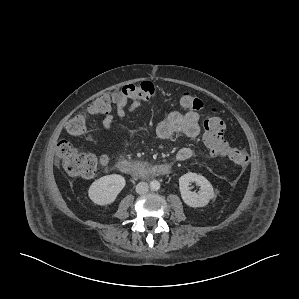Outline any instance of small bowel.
<instances>
[{"label":"small bowel","instance_id":"c3829d8e","mask_svg":"<svg viewBox=\"0 0 299 299\" xmlns=\"http://www.w3.org/2000/svg\"><path fill=\"white\" fill-rule=\"evenodd\" d=\"M109 97L114 105V109L111 108L110 111L104 115L102 121L104 131L110 130L115 116L125 117L135 112L141 106L140 101L129 99L121 91L113 92ZM199 121L200 114L197 112L181 113L174 111L157 125L156 135L163 140L169 139L176 134H184L190 138H195L201 133ZM192 154L193 151L190 147L183 146L178 150L176 158L179 161H185L188 160Z\"/></svg>","mask_w":299,"mask_h":299}]
</instances>
